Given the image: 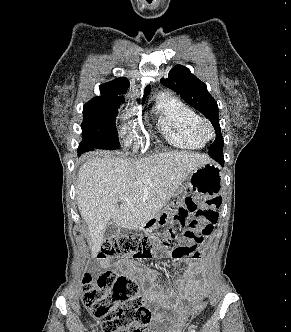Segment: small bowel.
Returning a JSON list of instances; mask_svg holds the SVG:
<instances>
[{"mask_svg":"<svg viewBox=\"0 0 291 332\" xmlns=\"http://www.w3.org/2000/svg\"><path fill=\"white\" fill-rule=\"evenodd\" d=\"M168 255L170 256L169 251ZM199 258L200 256L197 259H189L190 276L182 277L178 268L173 269L172 276L177 285L175 289L164 288L158 281L160 273L137 260L121 257L114 263L123 273L141 284L142 297L153 312L151 332L168 331L173 312L182 308L185 302L194 301L203 296V288L194 277L201 270ZM100 263L104 267L113 265L112 260L105 257H102Z\"/></svg>","mask_w":291,"mask_h":332,"instance_id":"small-bowel-1","label":"small bowel"}]
</instances>
